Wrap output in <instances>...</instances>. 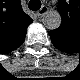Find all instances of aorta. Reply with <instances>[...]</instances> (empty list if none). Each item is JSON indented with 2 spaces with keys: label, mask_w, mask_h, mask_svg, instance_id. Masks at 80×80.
Instances as JSON below:
<instances>
[{
  "label": "aorta",
  "mask_w": 80,
  "mask_h": 80,
  "mask_svg": "<svg viewBox=\"0 0 80 80\" xmlns=\"http://www.w3.org/2000/svg\"><path fill=\"white\" fill-rule=\"evenodd\" d=\"M47 20L52 23L54 28H57L61 23V16L58 12H50L47 14Z\"/></svg>",
  "instance_id": "aorta-1"
}]
</instances>
